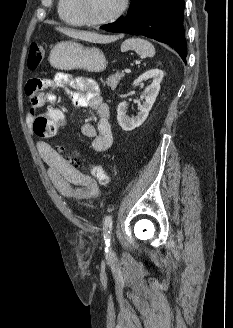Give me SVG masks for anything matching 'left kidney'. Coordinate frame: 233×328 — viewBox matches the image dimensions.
<instances>
[{"mask_svg":"<svg viewBox=\"0 0 233 328\" xmlns=\"http://www.w3.org/2000/svg\"><path fill=\"white\" fill-rule=\"evenodd\" d=\"M163 71L160 69H151L142 75H140L133 83V86H137L144 80L152 78V83L148 85L144 93L141 95V99H144L143 104L139 107V112L135 117H129L127 113V104L121 102L117 108V120L119 125L124 131H132L139 127L148 117L156 97L160 90V83L163 79Z\"/></svg>","mask_w":233,"mask_h":328,"instance_id":"left-kidney-1","label":"left kidney"}]
</instances>
